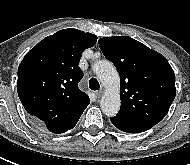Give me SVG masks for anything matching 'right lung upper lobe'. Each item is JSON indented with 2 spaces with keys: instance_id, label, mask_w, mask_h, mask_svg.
Wrapping results in <instances>:
<instances>
[{
  "instance_id": "1",
  "label": "right lung upper lobe",
  "mask_w": 190,
  "mask_h": 165,
  "mask_svg": "<svg viewBox=\"0 0 190 165\" xmlns=\"http://www.w3.org/2000/svg\"><path fill=\"white\" fill-rule=\"evenodd\" d=\"M96 41L91 33L60 30L40 41L19 65L18 96L25 110L52 133L74 128L90 103L78 88L83 77L78 64Z\"/></svg>"
}]
</instances>
